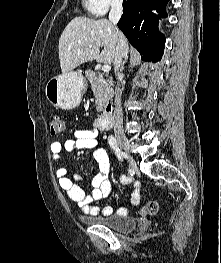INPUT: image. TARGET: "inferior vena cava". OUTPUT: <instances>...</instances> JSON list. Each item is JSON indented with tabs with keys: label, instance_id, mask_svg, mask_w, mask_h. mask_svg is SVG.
Here are the masks:
<instances>
[{
	"label": "inferior vena cava",
	"instance_id": "602c4592",
	"mask_svg": "<svg viewBox=\"0 0 221 263\" xmlns=\"http://www.w3.org/2000/svg\"><path fill=\"white\" fill-rule=\"evenodd\" d=\"M122 15V0H112L111 3V11L109 13V20L115 26L118 21L120 20ZM118 31V29H117ZM118 42L116 45V53L114 56V70L117 78L121 80L122 73H121V65H122V49L124 46V41L122 36L118 33ZM121 88L116 87L115 89V99H114V134L115 137L120 138L124 137V130H123V113L121 107Z\"/></svg>",
	"mask_w": 221,
	"mask_h": 263
}]
</instances>
